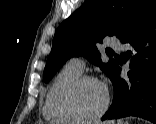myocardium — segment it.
Segmentation results:
<instances>
[{"label": "myocardium", "mask_w": 156, "mask_h": 124, "mask_svg": "<svg viewBox=\"0 0 156 124\" xmlns=\"http://www.w3.org/2000/svg\"><path fill=\"white\" fill-rule=\"evenodd\" d=\"M88 81L100 83L98 79L93 76L80 75L77 78H75L73 81H71L64 88V90L62 91L60 95L59 102H60V106L62 110L76 122H91V121H95L101 118L104 115V113L107 111L109 104H110V96L106 90L104 104L100 108V110L97 111L95 114L83 115L75 108L73 104V95L81 84H83L84 82H88Z\"/></svg>", "instance_id": "f54148a6"}]
</instances>
